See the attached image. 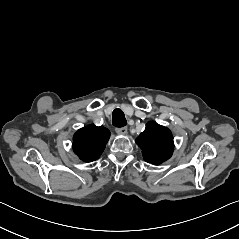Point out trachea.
I'll list each match as a JSON object with an SVG mask.
<instances>
[{
	"label": "trachea",
	"mask_w": 239,
	"mask_h": 239,
	"mask_svg": "<svg viewBox=\"0 0 239 239\" xmlns=\"http://www.w3.org/2000/svg\"><path fill=\"white\" fill-rule=\"evenodd\" d=\"M112 123L115 127H118V128L126 126L127 121L121 109L117 108L113 111Z\"/></svg>",
	"instance_id": "trachea-1"
}]
</instances>
